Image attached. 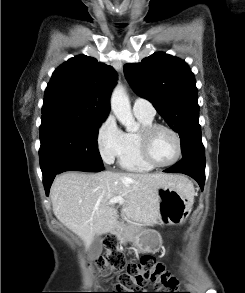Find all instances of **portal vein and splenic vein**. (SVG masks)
<instances>
[{
    "label": "portal vein and splenic vein",
    "mask_w": 245,
    "mask_h": 293,
    "mask_svg": "<svg viewBox=\"0 0 245 293\" xmlns=\"http://www.w3.org/2000/svg\"><path fill=\"white\" fill-rule=\"evenodd\" d=\"M124 199L122 197H115V198H112L109 200V204L110 205H113V204H116V203H119V204H124Z\"/></svg>",
    "instance_id": "1"
}]
</instances>
